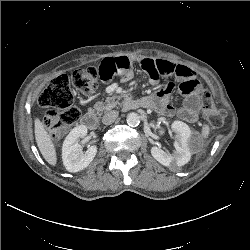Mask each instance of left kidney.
<instances>
[{
  "mask_svg": "<svg viewBox=\"0 0 250 250\" xmlns=\"http://www.w3.org/2000/svg\"><path fill=\"white\" fill-rule=\"evenodd\" d=\"M171 128L175 133L174 153H167L154 146L151 148V154L163 166H183L191 158L192 132L189 126L182 121H174L171 124Z\"/></svg>",
  "mask_w": 250,
  "mask_h": 250,
  "instance_id": "obj_1",
  "label": "left kidney"
}]
</instances>
